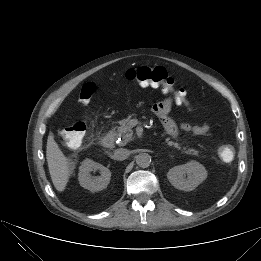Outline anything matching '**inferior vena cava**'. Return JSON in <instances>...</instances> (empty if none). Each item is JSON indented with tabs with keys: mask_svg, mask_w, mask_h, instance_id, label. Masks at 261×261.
Segmentation results:
<instances>
[{
	"mask_svg": "<svg viewBox=\"0 0 261 261\" xmlns=\"http://www.w3.org/2000/svg\"><path fill=\"white\" fill-rule=\"evenodd\" d=\"M130 155V151L124 148H120V149H116L114 152V159L116 160H125L128 158V156Z\"/></svg>",
	"mask_w": 261,
	"mask_h": 261,
	"instance_id": "602c4592",
	"label": "inferior vena cava"
}]
</instances>
